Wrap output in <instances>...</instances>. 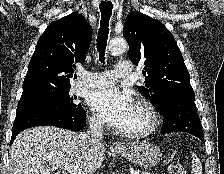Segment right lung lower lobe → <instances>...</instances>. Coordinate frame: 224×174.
I'll return each instance as SVG.
<instances>
[{
  "label": "right lung lower lobe",
  "mask_w": 224,
  "mask_h": 174,
  "mask_svg": "<svg viewBox=\"0 0 224 174\" xmlns=\"http://www.w3.org/2000/svg\"><path fill=\"white\" fill-rule=\"evenodd\" d=\"M43 125L80 131L86 125V113L82 106L71 110H63L43 101L18 103L11 144L22 130Z\"/></svg>",
  "instance_id": "1"
}]
</instances>
